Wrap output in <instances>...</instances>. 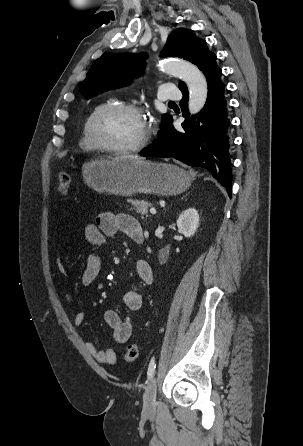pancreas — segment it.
I'll list each match as a JSON object with an SVG mask.
<instances>
[{
    "label": "pancreas",
    "mask_w": 303,
    "mask_h": 446,
    "mask_svg": "<svg viewBox=\"0 0 303 446\" xmlns=\"http://www.w3.org/2000/svg\"><path fill=\"white\" fill-rule=\"evenodd\" d=\"M130 202L134 206L136 212L141 215V219L146 220L145 217L146 218L148 217L147 209L150 206V204L144 200H137V199L135 200L130 199Z\"/></svg>",
    "instance_id": "pancreas-1"
}]
</instances>
